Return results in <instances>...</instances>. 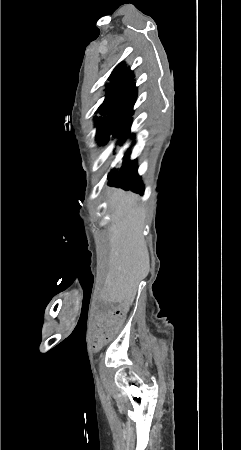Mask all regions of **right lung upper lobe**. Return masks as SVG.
I'll return each mask as SVG.
<instances>
[{
  "mask_svg": "<svg viewBox=\"0 0 241 450\" xmlns=\"http://www.w3.org/2000/svg\"><path fill=\"white\" fill-rule=\"evenodd\" d=\"M134 77V73L126 66V63L122 62L111 73L107 87L112 88L119 99L136 101L137 87L133 82Z\"/></svg>",
  "mask_w": 241,
  "mask_h": 450,
  "instance_id": "right-lung-upper-lobe-1",
  "label": "right lung upper lobe"
}]
</instances>
